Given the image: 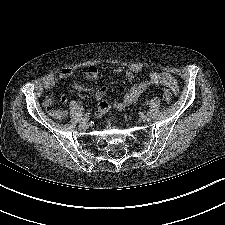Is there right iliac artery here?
I'll return each mask as SVG.
<instances>
[{"label":"right iliac artery","mask_w":225,"mask_h":225,"mask_svg":"<svg viewBox=\"0 0 225 225\" xmlns=\"http://www.w3.org/2000/svg\"><path fill=\"white\" fill-rule=\"evenodd\" d=\"M89 118H90V114L87 113V114H85V115L83 116V118H81V120H82V121H88Z\"/></svg>","instance_id":"1"}]
</instances>
